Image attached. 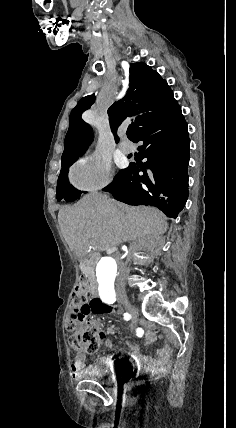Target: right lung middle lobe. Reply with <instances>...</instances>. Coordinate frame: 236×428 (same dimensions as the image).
I'll return each mask as SVG.
<instances>
[{"label": "right lung middle lobe", "instance_id": "obj_1", "mask_svg": "<svg viewBox=\"0 0 236 428\" xmlns=\"http://www.w3.org/2000/svg\"><path fill=\"white\" fill-rule=\"evenodd\" d=\"M70 166V165H69ZM61 170V174L57 181V200L65 199L66 201H74L80 198L81 191L75 189L68 182V168Z\"/></svg>", "mask_w": 236, "mask_h": 428}]
</instances>
